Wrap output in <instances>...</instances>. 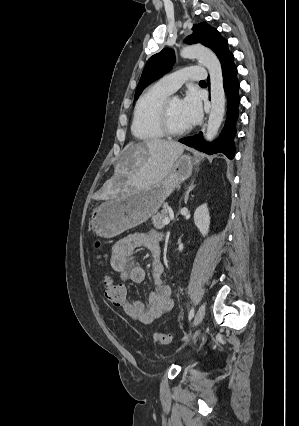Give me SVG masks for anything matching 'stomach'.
<instances>
[{
  "instance_id": "stomach-1",
  "label": "stomach",
  "mask_w": 299,
  "mask_h": 426,
  "mask_svg": "<svg viewBox=\"0 0 299 426\" xmlns=\"http://www.w3.org/2000/svg\"><path fill=\"white\" fill-rule=\"evenodd\" d=\"M199 163L198 156L181 155L161 181L148 188H133L102 203L91 215L93 232L102 238H112L144 223L159 210L172 191L191 176Z\"/></svg>"
}]
</instances>
